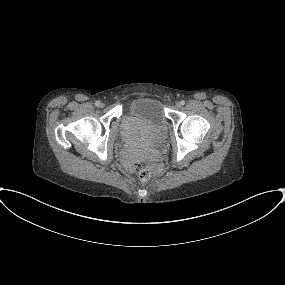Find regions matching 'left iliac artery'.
I'll return each mask as SVG.
<instances>
[{
  "label": "left iliac artery",
  "mask_w": 285,
  "mask_h": 285,
  "mask_svg": "<svg viewBox=\"0 0 285 285\" xmlns=\"http://www.w3.org/2000/svg\"><path fill=\"white\" fill-rule=\"evenodd\" d=\"M180 103H181V105H184V104H185V101H184V100H182Z\"/></svg>",
  "instance_id": "obj_1"
}]
</instances>
